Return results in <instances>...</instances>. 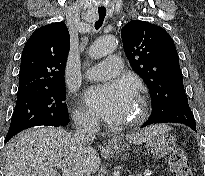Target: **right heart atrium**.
<instances>
[{"mask_svg": "<svg viewBox=\"0 0 205 176\" xmlns=\"http://www.w3.org/2000/svg\"><path fill=\"white\" fill-rule=\"evenodd\" d=\"M74 117L76 122L83 127L92 128L97 123L95 116L83 108L77 109L74 113Z\"/></svg>", "mask_w": 205, "mask_h": 176, "instance_id": "1", "label": "right heart atrium"}]
</instances>
